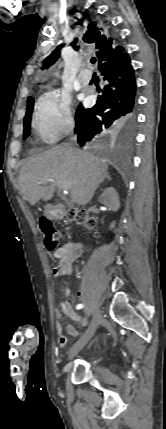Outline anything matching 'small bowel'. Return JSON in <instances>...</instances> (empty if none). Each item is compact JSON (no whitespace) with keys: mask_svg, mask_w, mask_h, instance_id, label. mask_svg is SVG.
Returning <instances> with one entry per match:
<instances>
[{"mask_svg":"<svg viewBox=\"0 0 166 429\" xmlns=\"http://www.w3.org/2000/svg\"><path fill=\"white\" fill-rule=\"evenodd\" d=\"M83 251L84 248L80 242H68L58 248L53 254L54 258L58 260V265L53 270L54 275L56 277L70 275L73 271V264L82 255ZM78 296H81L80 292L78 293ZM62 315H65L76 322L81 321V317L68 302H62L60 310H56L55 312V316L58 320L61 319ZM56 329L59 345L61 347H65L67 345V338L64 335L62 326L59 322L56 325ZM66 331L73 337L78 336L77 329L72 325H68L66 327Z\"/></svg>","mask_w":166,"mask_h":429,"instance_id":"1","label":"small bowel"}]
</instances>
